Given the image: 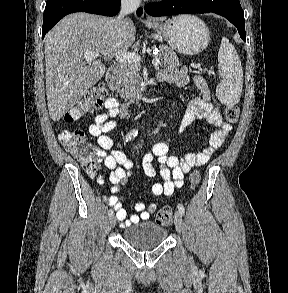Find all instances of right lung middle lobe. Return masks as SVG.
Wrapping results in <instances>:
<instances>
[{"mask_svg": "<svg viewBox=\"0 0 288 293\" xmlns=\"http://www.w3.org/2000/svg\"><path fill=\"white\" fill-rule=\"evenodd\" d=\"M51 1H54V0H47V2H51ZM47 2H46V3H47Z\"/></svg>", "mask_w": 288, "mask_h": 293, "instance_id": "right-lung-middle-lobe-1", "label": "right lung middle lobe"}]
</instances>
